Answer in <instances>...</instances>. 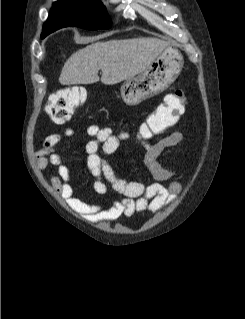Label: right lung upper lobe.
I'll use <instances>...</instances> for the list:
<instances>
[{
    "label": "right lung upper lobe",
    "instance_id": "cb5924a9",
    "mask_svg": "<svg viewBox=\"0 0 245 319\" xmlns=\"http://www.w3.org/2000/svg\"><path fill=\"white\" fill-rule=\"evenodd\" d=\"M60 1H65V0H60ZM50 26H54V23L51 21V18H48V20L44 24V29H47Z\"/></svg>",
    "mask_w": 245,
    "mask_h": 319
}]
</instances>
